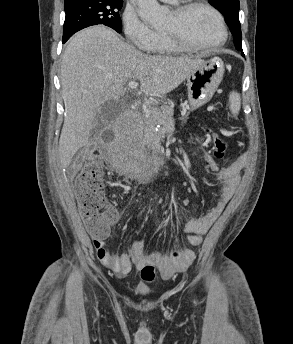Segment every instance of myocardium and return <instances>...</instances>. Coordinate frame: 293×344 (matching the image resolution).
<instances>
[{
    "mask_svg": "<svg viewBox=\"0 0 293 344\" xmlns=\"http://www.w3.org/2000/svg\"><path fill=\"white\" fill-rule=\"evenodd\" d=\"M201 7L205 8L209 12L213 14V16L216 18L219 29H220V38L209 45L204 46H198L191 44L186 39H184L180 34L176 32H169V31H163L165 36L178 48L188 51V52H210L218 49L222 45L225 44V42L228 39V29L225 22V19L222 15V13L213 5L210 3L204 1V0H190L186 3H183L181 5L176 6L173 8L172 13L177 17H182L187 11L190 9Z\"/></svg>",
    "mask_w": 293,
    "mask_h": 344,
    "instance_id": "f54148a6",
    "label": "myocardium"
}]
</instances>
